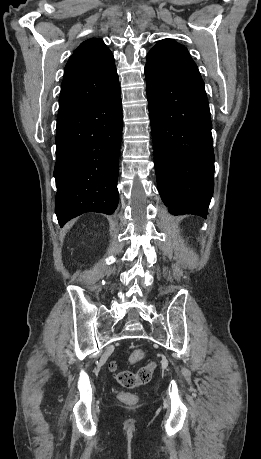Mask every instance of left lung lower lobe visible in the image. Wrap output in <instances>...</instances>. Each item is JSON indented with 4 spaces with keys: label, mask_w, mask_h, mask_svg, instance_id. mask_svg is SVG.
<instances>
[{
    "label": "left lung lower lobe",
    "mask_w": 261,
    "mask_h": 459,
    "mask_svg": "<svg viewBox=\"0 0 261 459\" xmlns=\"http://www.w3.org/2000/svg\"><path fill=\"white\" fill-rule=\"evenodd\" d=\"M160 196L173 215L206 218L213 195L214 153L204 82L145 66Z\"/></svg>",
    "instance_id": "left-lung-lower-lobe-1"
}]
</instances>
